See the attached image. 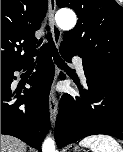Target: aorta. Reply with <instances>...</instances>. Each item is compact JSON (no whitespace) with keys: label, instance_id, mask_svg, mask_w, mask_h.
Segmentation results:
<instances>
[{"label":"aorta","instance_id":"obj_1","mask_svg":"<svg viewBox=\"0 0 123 152\" xmlns=\"http://www.w3.org/2000/svg\"><path fill=\"white\" fill-rule=\"evenodd\" d=\"M56 22L58 26L63 30L72 29L77 22L76 15L71 10H60L56 14ZM43 152H56L54 141L47 137L42 145Z\"/></svg>","mask_w":123,"mask_h":152}]
</instances>
